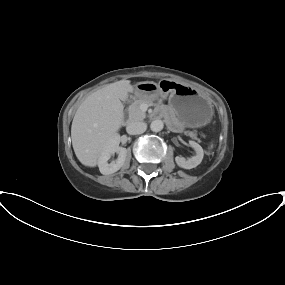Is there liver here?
<instances>
[{"label":"liver","instance_id":"obj_1","mask_svg":"<svg viewBox=\"0 0 285 285\" xmlns=\"http://www.w3.org/2000/svg\"><path fill=\"white\" fill-rule=\"evenodd\" d=\"M134 88L129 80L111 83L89 95L78 107L71 126L72 146L85 166L95 167L102 150L123 125L124 106Z\"/></svg>","mask_w":285,"mask_h":285}]
</instances>
